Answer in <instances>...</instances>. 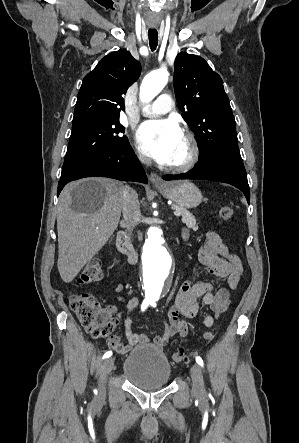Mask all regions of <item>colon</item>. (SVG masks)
Here are the masks:
<instances>
[{
  "label": "colon",
  "mask_w": 299,
  "mask_h": 443,
  "mask_svg": "<svg viewBox=\"0 0 299 443\" xmlns=\"http://www.w3.org/2000/svg\"><path fill=\"white\" fill-rule=\"evenodd\" d=\"M219 216L223 220H230L233 216L232 206L225 205L219 209ZM103 271L101 262L98 259H92L86 263L79 277L81 284H91L101 281ZM69 306L78 318L83 328L95 338L109 337L115 327V319L110 312L103 309L96 298L88 292L75 293L69 298ZM215 336L214 329L207 330L203 334L205 341L213 340ZM173 361L188 362L191 355L184 350L175 351L172 354Z\"/></svg>",
  "instance_id": "5ec220e1"
}]
</instances>
